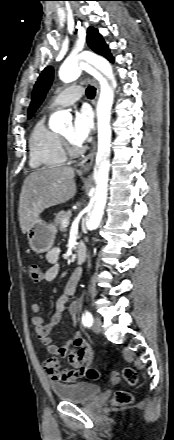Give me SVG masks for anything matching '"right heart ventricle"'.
Wrapping results in <instances>:
<instances>
[{
    "label": "right heart ventricle",
    "mask_w": 174,
    "mask_h": 440,
    "mask_svg": "<svg viewBox=\"0 0 174 440\" xmlns=\"http://www.w3.org/2000/svg\"><path fill=\"white\" fill-rule=\"evenodd\" d=\"M66 152L61 136L49 129L45 117L33 127L29 137V163L32 168H54L64 164Z\"/></svg>",
    "instance_id": "1"
}]
</instances>
